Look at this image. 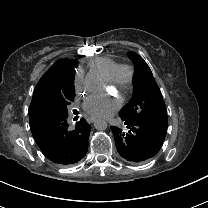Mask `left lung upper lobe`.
<instances>
[{"instance_id":"left-lung-upper-lobe-1","label":"left lung upper lobe","mask_w":208,"mask_h":208,"mask_svg":"<svg viewBox=\"0 0 208 208\" xmlns=\"http://www.w3.org/2000/svg\"><path fill=\"white\" fill-rule=\"evenodd\" d=\"M128 56L137 68V76L134 80L133 97L120 113L148 121L167 130L168 118L165 103L149 66L136 53L129 52Z\"/></svg>"}]
</instances>
